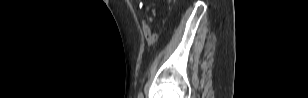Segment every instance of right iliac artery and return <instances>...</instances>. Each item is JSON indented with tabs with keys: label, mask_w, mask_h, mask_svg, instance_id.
Masks as SVG:
<instances>
[{
	"label": "right iliac artery",
	"mask_w": 308,
	"mask_h": 98,
	"mask_svg": "<svg viewBox=\"0 0 308 98\" xmlns=\"http://www.w3.org/2000/svg\"><path fill=\"white\" fill-rule=\"evenodd\" d=\"M138 98H143V94L140 93V94L138 95Z\"/></svg>",
	"instance_id": "obj_1"
}]
</instances>
